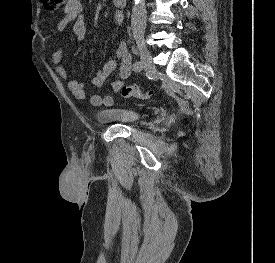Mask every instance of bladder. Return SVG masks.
Wrapping results in <instances>:
<instances>
[{"instance_id":"obj_1","label":"bladder","mask_w":275,"mask_h":263,"mask_svg":"<svg viewBox=\"0 0 275 263\" xmlns=\"http://www.w3.org/2000/svg\"><path fill=\"white\" fill-rule=\"evenodd\" d=\"M95 116L101 123H135L143 118V113L133 108L106 107L97 111Z\"/></svg>"}]
</instances>
